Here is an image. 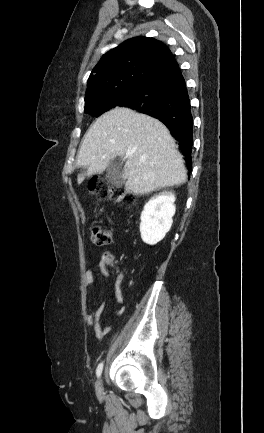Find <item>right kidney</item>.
I'll return each instance as SVG.
<instances>
[{
    "label": "right kidney",
    "mask_w": 264,
    "mask_h": 433,
    "mask_svg": "<svg viewBox=\"0 0 264 433\" xmlns=\"http://www.w3.org/2000/svg\"><path fill=\"white\" fill-rule=\"evenodd\" d=\"M174 202V193L165 191L145 204L141 213L140 233L146 244H157L170 230L176 211Z\"/></svg>",
    "instance_id": "obj_1"
}]
</instances>
